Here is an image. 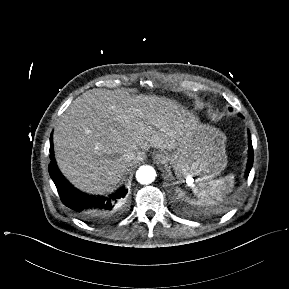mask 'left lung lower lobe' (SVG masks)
<instances>
[{
	"instance_id": "1",
	"label": "left lung lower lobe",
	"mask_w": 289,
	"mask_h": 289,
	"mask_svg": "<svg viewBox=\"0 0 289 289\" xmlns=\"http://www.w3.org/2000/svg\"><path fill=\"white\" fill-rule=\"evenodd\" d=\"M231 110V108H229ZM253 164V147H252V142H251V135L249 133V160H248V165H247V170H246V175L249 174Z\"/></svg>"
}]
</instances>
